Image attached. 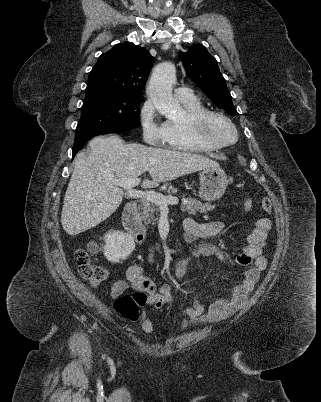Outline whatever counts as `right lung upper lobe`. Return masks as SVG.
I'll return each mask as SVG.
<instances>
[{
    "instance_id": "1",
    "label": "right lung upper lobe",
    "mask_w": 321,
    "mask_h": 402,
    "mask_svg": "<svg viewBox=\"0 0 321 402\" xmlns=\"http://www.w3.org/2000/svg\"><path fill=\"white\" fill-rule=\"evenodd\" d=\"M153 57L140 46L122 43L103 53L89 74L86 90L142 97Z\"/></svg>"
}]
</instances>
